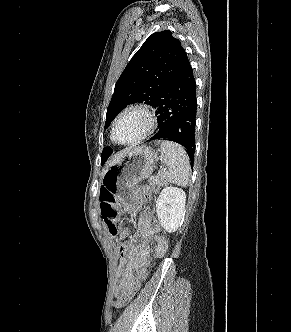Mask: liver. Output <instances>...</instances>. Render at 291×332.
<instances>
[{"label": "liver", "mask_w": 291, "mask_h": 332, "mask_svg": "<svg viewBox=\"0 0 291 332\" xmlns=\"http://www.w3.org/2000/svg\"><path fill=\"white\" fill-rule=\"evenodd\" d=\"M130 150H131V149H125V150H122L121 152L115 154V155L112 157V159H111V161H110V163H109L108 166L111 167V166L115 165V164L120 160V158H122V157H123L126 153H128ZM106 171H107V170H106ZM106 171H104L103 175L105 174Z\"/></svg>", "instance_id": "liver-1"}]
</instances>
